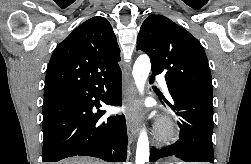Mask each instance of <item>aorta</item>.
Instances as JSON below:
<instances>
[{"label": "aorta", "instance_id": "obj_1", "mask_svg": "<svg viewBox=\"0 0 251 164\" xmlns=\"http://www.w3.org/2000/svg\"><path fill=\"white\" fill-rule=\"evenodd\" d=\"M151 69L150 59L146 54L140 55L134 63L132 75L137 89L141 94L144 92L145 83L148 79ZM149 161V141L147 133L142 130L140 133L137 149L136 164H145Z\"/></svg>", "mask_w": 251, "mask_h": 164}]
</instances>
